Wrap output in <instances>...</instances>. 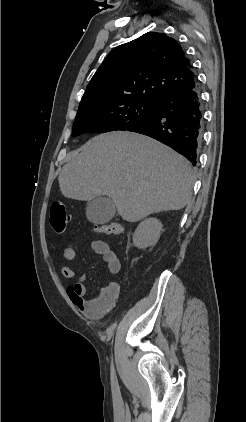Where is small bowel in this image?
I'll use <instances>...</instances> for the list:
<instances>
[{
  "instance_id": "small-bowel-1",
  "label": "small bowel",
  "mask_w": 246,
  "mask_h": 422,
  "mask_svg": "<svg viewBox=\"0 0 246 422\" xmlns=\"http://www.w3.org/2000/svg\"><path fill=\"white\" fill-rule=\"evenodd\" d=\"M90 246L96 254L102 257L111 273L117 274L120 271L121 263L106 242L94 240L91 242ZM61 253L67 261H74L76 259V251L72 246L62 248ZM60 273L67 279H73L77 275L76 270L69 266H62L60 268ZM84 279L85 276L80 275L77 280L69 284L66 289L67 295L72 303L86 315L93 318H101L114 308L120 296V285L117 282L112 281L99 295L86 299V287L83 283Z\"/></svg>"
}]
</instances>
